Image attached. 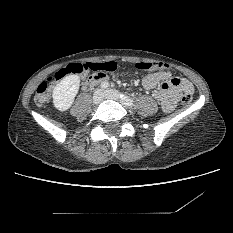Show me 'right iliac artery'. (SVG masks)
Here are the masks:
<instances>
[{
    "label": "right iliac artery",
    "mask_w": 233,
    "mask_h": 233,
    "mask_svg": "<svg viewBox=\"0 0 233 233\" xmlns=\"http://www.w3.org/2000/svg\"><path fill=\"white\" fill-rule=\"evenodd\" d=\"M109 87V84L107 82H104L101 84L102 89H107Z\"/></svg>",
    "instance_id": "82829eb1"
}]
</instances>
